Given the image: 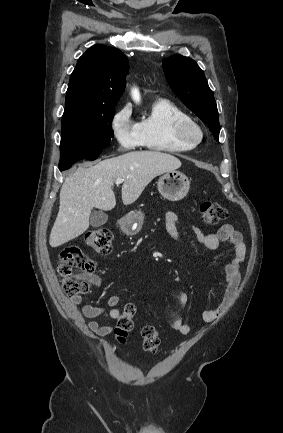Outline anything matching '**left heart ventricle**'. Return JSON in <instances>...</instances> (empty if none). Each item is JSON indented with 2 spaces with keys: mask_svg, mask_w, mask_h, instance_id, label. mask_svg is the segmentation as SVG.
Returning <instances> with one entry per match:
<instances>
[{
  "mask_svg": "<svg viewBox=\"0 0 283 433\" xmlns=\"http://www.w3.org/2000/svg\"><path fill=\"white\" fill-rule=\"evenodd\" d=\"M196 136H197V133H196L193 129H191V130H189V131L187 132V138H188L189 140H193V139H195Z\"/></svg>",
  "mask_w": 283,
  "mask_h": 433,
  "instance_id": "left-heart-ventricle-1",
  "label": "left heart ventricle"
}]
</instances>
